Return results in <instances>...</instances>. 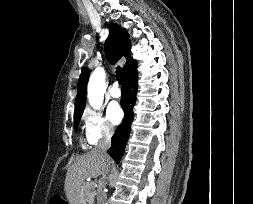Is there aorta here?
Masks as SVG:
<instances>
[{
  "label": "aorta",
  "instance_id": "762f6f07",
  "mask_svg": "<svg viewBox=\"0 0 253 204\" xmlns=\"http://www.w3.org/2000/svg\"><path fill=\"white\" fill-rule=\"evenodd\" d=\"M106 89L104 69L93 71L88 82V100L94 109H99L103 103Z\"/></svg>",
  "mask_w": 253,
  "mask_h": 204
}]
</instances>
